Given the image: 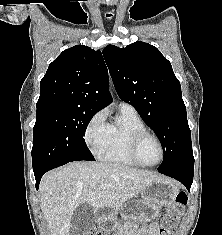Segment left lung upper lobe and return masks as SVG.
Instances as JSON below:
<instances>
[{
	"instance_id": "1",
	"label": "left lung upper lobe",
	"mask_w": 222,
	"mask_h": 235,
	"mask_svg": "<svg viewBox=\"0 0 222 235\" xmlns=\"http://www.w3.org/2000/svg\"><path fill=\"white\" fill-rule=\"evenodd\" d=\"M103 56L119 97L135 107L158 136L164 151L158 170L194 168L191 131L179 80L154 46L108 45Z\"/></svg>"
}]
</instances>
